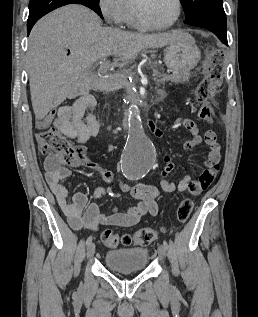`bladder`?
Masks as SVG:
<instances>
[{"mask_svg": "<svg viewBox=\"0 0 258 317\" xmlns=\"http://www.w3.org/2000/svg\"><path fill=\"white\" fill-rule=\"evenodd\" d=\"M104 263L116 271H141L148 264V249L132 247L109 250L104 256Z\"/></svg>", "mask_w": 258, "mask_h": 317, "instance_id": "31cf9c89", "label": "bladder"}]
</instances>
